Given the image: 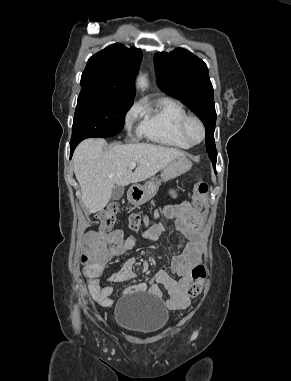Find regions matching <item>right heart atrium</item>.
<instances>
[{
	"instance_id": "d8ad5b80",
	"label": "right heart atrium",
	"mask_w": 291,
	"mask_h": 381,
	"mask_svg": "<svg viewBox=\"0 0 291 381\" xmlns=\"http://www.w3.org/2000/svg\"><path fill=\"white\" fill-rule=\"evenodd\" d=\"M140 110L137 104L132 105L124 116V124L127 130H131V128L136 123L138 116H139Z\"/></svg>"
}]
</instances>
